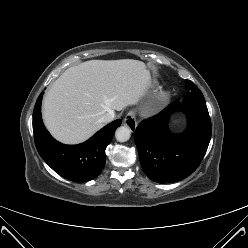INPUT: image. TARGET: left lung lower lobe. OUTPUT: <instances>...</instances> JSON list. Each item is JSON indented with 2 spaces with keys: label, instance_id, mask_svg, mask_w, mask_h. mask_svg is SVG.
<instances>
[{
  "label": "left lung lower lobe",
  "instance_id": "obj_1",
  "mask_svg": "<svg viewBox=\"0 0 248 248\" xmlns=\"http://www.w3.org/2000/svg\"><path fill=\"white\" fill-rule=\"evenodd\" d=\"M183 109L188 128L182 134L168 129L169 116ZM211 121L201 92L188 93L181 104L171 103L159 114L140 122L135 131V143L145 174L158 183L181 180L200 165L211 138Z\"/></svg>",
  "mask_w": 248,
  "mask_h": 248
}]
</instances>
